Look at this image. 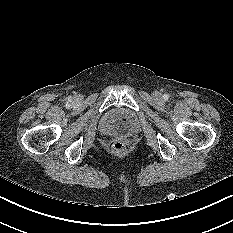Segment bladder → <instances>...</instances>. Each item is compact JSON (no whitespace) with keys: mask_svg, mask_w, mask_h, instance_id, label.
I'll return each mask as SVG.
<instances>
[{"mask_svg":"<svg viewBox=\"0 0 233 233\" xmlns=\"http://www.w3.org/2000/svg\"><path fill=\"white\" fill-rule=\"evenodd\" d=\"M136 115L126 108H113L107 111L99 123L100 131L107 136L129 137L139 131Z\"/></svg>","mask_w":233,"mask_h":233,"instance_id":"1","label":"bladder"}]
</instances>
